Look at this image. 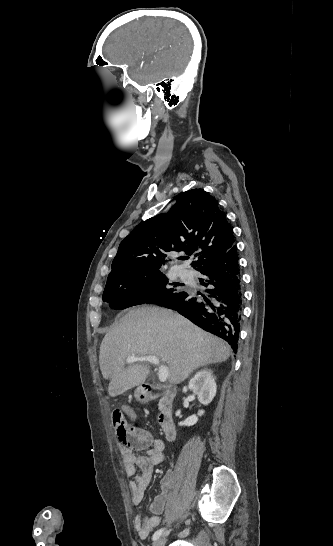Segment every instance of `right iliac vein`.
<instances>
[{
    "label": "right iliac vein",
    "instance_id": "63e3f726",
    "mask_svg": "<svg viewBox=\"0 0 333 546\" xmlns=\"http://www.w3.org/2000/svg\"><path fill=\"white\" fill-rule=\"evenodd\" d=\"M166 540H167V534L163 535L162 537H160L159 539H157L153 546H164L165 543H166Z\"/></svg>",
    "mask_w": 333,
    "mask_h": 546
}]
</instances>
